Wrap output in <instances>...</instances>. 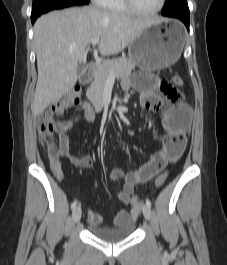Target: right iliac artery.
I'll use <instances>...</instances> for the list:
<instances>
[{
  "label": "right iliac artery",
  "instance_id": "obj_1",
  "mask_svg": "<svg viewBox=\"0 0 227 265\" xmlns=\"http://www.w3.org/2000/svg\"><path fill=\"white\" fill-rule=\"evenodd\" d=\"M77 205V200H75L72 204H71V209H74Z\"/></svg>",
  "mask_w": 227,
  "mask_h": 265
}]
</instances>
